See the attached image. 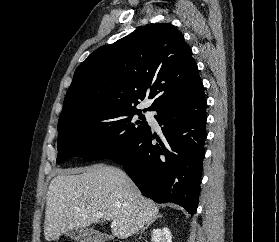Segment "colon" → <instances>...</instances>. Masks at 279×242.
Returning <instances> with one entry per match:
<instances>
[{"instance_id": "1", "label": "colon", "mask_w": 279, "mask_h": 242, "mask_svg": "<svg viewBox=\"0 0 279 242\" xmlns=\"http://www.w3.org/2000/svg\"><path fill=\"white\" fill-rule=\"evenodd\" d=\"M67 242H71V241H67ZM114 242H122V241L117 240V241H114Z\"/></svg>"}]
</instances>
